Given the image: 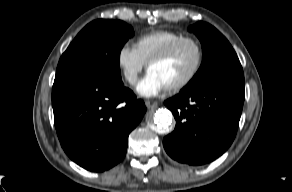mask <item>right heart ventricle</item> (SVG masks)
Returning a JSON list of instances; mask_svg holds the SVG:
<instances>
[{
    "mask_svg": "<svg viewBox=\"0 0 292 192\" xmlns=\"http://www.w3.org/2000/svg\"><path fill=\"white\" fill-rule=\"evenodd\" d=\"M183 36L182 33L172 30H155L139 36L135 48L146 64L152 57Z\"/></svg>",
    "mask_w": 292,
    "mask_h": 192,
    "instance_id": "1",
    "label": "right heart ventricle"
}]
</instances>
